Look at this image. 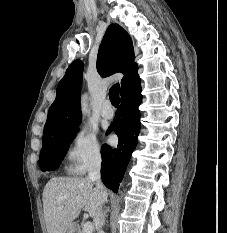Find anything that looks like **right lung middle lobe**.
Wrapping results in <instances>:
<instances>
[{"label":"right lung middle lobe","mask_w":227,"mask_h":233,"mask_svg":"<svg viewBox=\"0 0 227 233\" xmlns=\"http://www.w3.org/2000/svg\"><path fill=\"white\" fill-rule=\"evenodd\" d=\"M77 131L78 129L76 127L63 135L42 141V149L39 157V165L42 171H50L58 168Z\"/></svg>","instance_id":"dd1d6c3e"}]
</instances>
